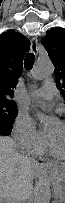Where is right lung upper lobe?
Returning <instances> with one entry per match:
<instances>
[{
    "label": "right lung upper lobe",
    "instance_id": "obj_1",
    "mask_svg": "<svg viewBox=\"0 0 65 203\" xmlns=\"http://www.w3.org/2000/svg\"><path fill=\"white\" fill-rule=\"evenodd\" d=\"M30 41L19 32L0 35V101H11L13 90L23 70V58Z\"/></svg>",
    "mask_w": 65,
    "mask_h": 203
}]
</instances>
